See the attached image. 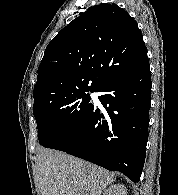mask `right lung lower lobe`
I'll use <instances>...</instances> for the list:
<instances>
[{
    "label": "right lung lower lobe",
    "mask_w": 178,
    "mask_h": 195,
    "mask_svg": "<svg viewBox=\"0 0 178 195\" xmlns=\"http://www.w3.org/2000/svg\"><path fill=\"white\" fill-rule=\"evenodd\" d=\"M149 62L125 73L96 92L94 105L53 149L119 171L138 182L144 166L151 106Z\"/></svg>",
    "instance_id": "98d812e1"
}]
</instances>
